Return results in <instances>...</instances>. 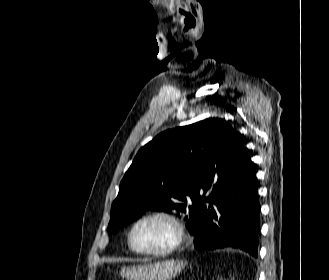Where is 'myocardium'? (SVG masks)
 Instances as JSON below:
<instances>
[{
  "instance_id": "1",
  "label": "myocardium",
  "mask_w": 329,
  "mask_h": 280,
  "mask_svg": "<svg viewBox=\"0 0 329 280\" xmlns=\"http://www.w3.org/2000/svg\"><path fill=\"white\" fill-rule=\"evenodd\" d=\"M152 219H161V220L168 222L171 225L173 232H174V237H173L172 242L167 247H164V248L158 249V250H142V249L136 248L133 243L134 230L142 222L147 221V220H152ZM184 237H185L184 228L174 213L166 211V210H156V211H152V212L142 215L132 224V226L130 227L129 232H128V245H129V248L134 253L139 254V255L155 256V257L166 256V255L173 253L180 247V245L182 244V242L184 240Z\"/></svg>"
}]
</instances>
